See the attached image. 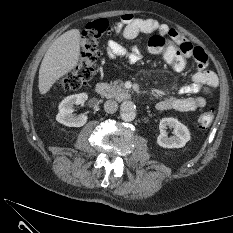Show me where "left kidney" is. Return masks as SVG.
<instances>
[{
    "mask_svg": "<svg viewBox=\"0 0 233 233\" xmlns=\"http://www.w3.org/2000/svg\"><path fill=\"white\" fill-rule=\"evenodd\" d=\"M167 127L173 128L174 136L168 137ZM160 134L157 137V143L163 148H181L190 140L188 128L179 122L176 118L168 117L160 120Z\"/></svg>",
    "mask_w": 233,
    "mask_h": 233,
    "instance_id": "obj_1",
    "label": "left kidney"
}]
</instances>
